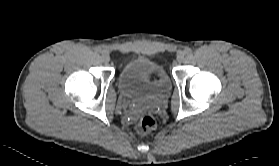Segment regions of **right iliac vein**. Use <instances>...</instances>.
<instances>
[{
  "instance_id": "63e3f726",
  "label": "right iliac vein",
  "mask_w": 279,
  "mask_h": 166,
  "mask_svg": "<svg viewBox=\"0 0 279 166\" xmlns=\"http://www.w3.org/2000/svg\"><path fill=\"white\" fill-rule=\"evenodd\" d=\"M101 57H102L103 61H105V62H109L110 61V55H109V53L107 51H103L101 53Z\"/></svg>"
}]
</instances>
